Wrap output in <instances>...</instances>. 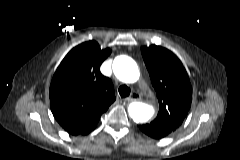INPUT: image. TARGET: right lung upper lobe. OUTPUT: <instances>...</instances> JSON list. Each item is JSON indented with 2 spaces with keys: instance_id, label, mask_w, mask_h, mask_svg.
Segmentation results:
<instances>
[{
  "instance_id": "cb5924a9",
  "label": "right lung upper lobe",
  "mask_w": 240,
  "mask_h": 160,
  "mask_svg": "<svg viewBox=\"0 0 240 160\" xmlns=\"http://www.w3.org/2000/svg\"><path fill=\"white\" fill-rule=\"evenodd\" d=\"M110 53L95 41L82 43L65 56L52 78L51 111L71 135L92 131L115 101L112 81L100 72Z\"/></svg>"
}]
</instances>
